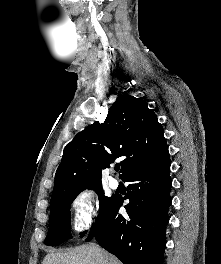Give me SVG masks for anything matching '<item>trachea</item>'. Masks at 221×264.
<instances>
[{"label": "trachea", "mask_w": 221, "mask_h": 264, "mask_svg": "<svg viewBox=\"0 0 221 264\" xmlns=\"http://www.w3.org/2000/svg\"><path fill=\"white\" fill-rule=\"evenodd\" d=\"M119 169H120L119 166H116V167H115V170H116V171H119Z\"/></svg>", "instance_id": "3493384b"}]
</instances>
